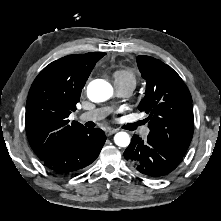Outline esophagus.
Here are the masks:
<instances>
[{
  "mask_svg": "<svg viewBox=\"0 0 221 221\" xmlns=\"http://www.w3.org/2000/svg\"><path fill=\"white\" fill-rule=\"evenodd\" d=\"M116 131H117L116 129L108 128V129H106L105 133L107 136H111L114 133H116Z\"/></svg>",
  "mask_w": 221,
  "mask_h": 221,
  "instance_id": "1",
  "label": "esophagus"
}]
</instances>
